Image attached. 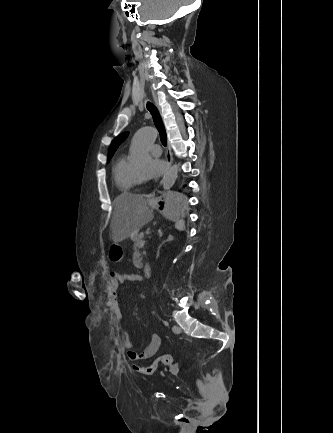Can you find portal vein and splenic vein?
<instances>
[{
  "mask_svg": "<svg viewBox=\"0 0 333 433\" xmlns=\"http://www.w3.org/2000/svg\"><path fill=\"white\" fill-rule=\"evenodd\" d=\"M144 243H145V241H142L140 244H141V245H144Z\"/></svg>",
  "mask_w": 333,
  "mask_h": 433,
  "instance_id": "obj_1",
  "label": "portal vein and splenic vein"
}]
</instances>
